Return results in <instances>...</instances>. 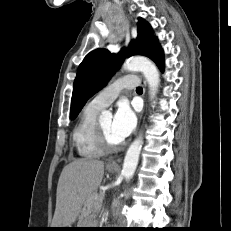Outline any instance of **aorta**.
I'll return each mask as SVG.
<instances>
[{"label": "aorta", "instance_id": "1", "mask_svg": "<svg viewBox=\"0 0 231 231\" xmlns=\"http://www.w3.org/2000/svg\"><path fill=\"white\" fill-rule=\"evenodd\" d=\"M124 69L127 71H140L143 73L148 86H149V95L152 99L158 90L159 86V72L157 67L146 57H133L128 59L124 65ZM109 112H102L101 117L110 116ZM143 144V137L140 134L130 145L128 148L124 162H123V169L122 174L126 181H129L136 170L140 152L142 149Z\"/></svg>", "mask_w": 231, "mask_h": 231}]
</instances>
